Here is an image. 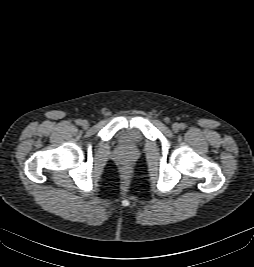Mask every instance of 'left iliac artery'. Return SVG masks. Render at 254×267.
<instances>
[{"instance_id": "left-iliac-artery-1", "label": "left iliac artery", "mask_w": 254, "mask_h": 267, "mask_svg": "<svg viewBox=\"0 0 254 267\" xmlns=\"http://www.w3.org/2000/svg\"><path fill=\"white\" fill-rule=\"evenodd\" d=\"M185 128H186V125H185L184 123H181V124H180V129L183 130V129H185Z\"/></svg>"}]
</instances>
